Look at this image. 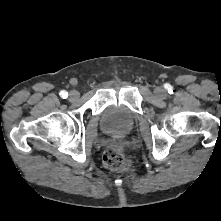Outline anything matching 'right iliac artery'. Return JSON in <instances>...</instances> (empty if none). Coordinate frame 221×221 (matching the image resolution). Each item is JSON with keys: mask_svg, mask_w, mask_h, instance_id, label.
<instances>
[{"mask_svg": "<svg viewBox=\"0 0 221 221\" xmlns=\"http://www.w3.org/2000/svg\"><path fill=\"white\" fill-rule=\"evenodd\" d=\"M60 96L65 99L67 98L68 95H67V92L63 90L60 92Z\"/></svg>", "mask_w": 221, "mask_h": 221, "instance_id": "1", "label": "right iliac artery"}]
</instances>
